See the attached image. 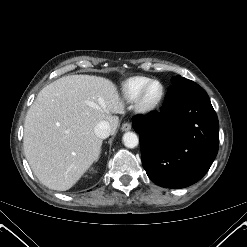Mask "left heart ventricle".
<instances>
[{"label":"left heart ventricle","mask_w":247,"mask_h":247,"mask_svg":"<svg viewBox=\"0 0 247 247\" xmlns=\"http://www.w3.org/2000/svg\"><path fill=\"white\" fill-rule=\"evenodd\" d=\"M159 93H160V86L158 84L152 85L147 91L146 100L148 102L155 100L158 97Z\"/></svg>","instance_id":"b2bd125f"}]
</instances>
